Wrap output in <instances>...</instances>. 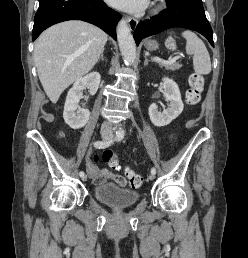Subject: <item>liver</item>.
<instances>
[{"instance_id": "1", "label": "liver", "mask_w": 248, "mask_h": 258, "mask_svg": "<svg viewBox=\"0 0 248 258\" xmlns=\"http://www.w3.org/2000/svg\"><path fill=\"white\" fill-rule=\"evenodd\" d=\"M107 35L83 21H65L45 30L35 42L34 62L52 103L72 83L92 70L104 50Z\"/></svg>"}]
</instances>
